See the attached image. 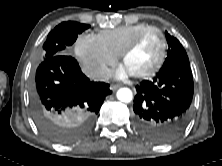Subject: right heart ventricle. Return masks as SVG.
Here are the masks:
<instances>
[{"instance_id": "1", "label": "right heart ventricle", "mask_w": 222, "mask_h": 166, "mask_svg": "<svg viewBox=\"0 0 222 166\" xmlns=\"http://www.w3.org/2000/svg\"><path fill=\"white\" fill-rule=\"evenodd\" d=\"M148 26V24L139 23L105 29L99 31L95 37L109 54L116 57L139 32Z\"/></svg>"}]
</instances>
